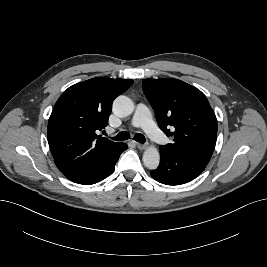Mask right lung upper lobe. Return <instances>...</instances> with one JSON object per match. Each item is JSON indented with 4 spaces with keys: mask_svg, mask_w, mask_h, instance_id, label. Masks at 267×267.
<instances>
[{
    "mask_svg": "<svg viewBox=\"0 0 267 267\" xmlns=\"http://www.w3.org/2000/svg\"><path fill=\"white\" fill-rule=\"evenodd\" d=\"M132 84L129 79L100 77L69 87L48 121V142L55 161L86 160L118 147L121 142L96 133L107 126L113 100Z\"/></svg>",
    "mask_w": 267,
    "mask_h": 267,
    "instance_id": "cb5924a9",
    "label": "right lung upper lobe"
}]
</instances>
